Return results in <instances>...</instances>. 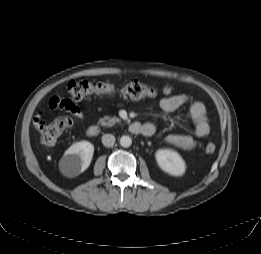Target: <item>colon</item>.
Returning <instances> with one entry per match:
<instances>
[{
  "instance_id": "colon-1",
  "label": "colon",
  "mask_w": 261,
  "mask_h": 254,
  "mask_svg": "<svg viewBox=\"0 0 261 254\" xmlns=\"http://www.w3.org/2000/svg\"><path fill=\"white\" fill-rule=\"evenodd\" d=\"M172 89L165 87L161 91L154 87L145 85L138 81H131L122 86H116L108 82L93 83L88 80H75L68 84L66 100H60L58 98H52L50 104L53 108H58V105L73 104V102H79L89 98L92 95H113L119 94L125 99L138 100L144 98H156L160 94L170 95ZM73 124L71 117L60 116L54 119L51 123H38V129L40 131L42 142L45 145H52L58 139V137L68 130ZM205 151L208 154H213L216 151V145L209 142L205 146Z\"/></svg>"
}]
</instances>
